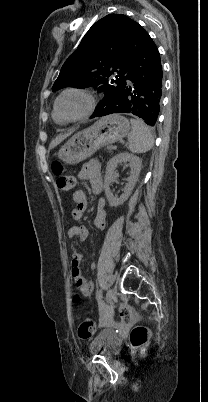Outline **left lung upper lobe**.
Wrapping results in <instances>:
<instances>
[{"label": "left lung upper lobe", "instance_id": "obj_1", "mask_svg": "<svg viewBox=\"0 0 208 402\" xmlns=\"http://www.w3.org/2000/svg\"><path fill=\"white\" fill-rule=\"evenodd\" d=\"M134 23L125 15L109 14L93 24L63 64L52 90L69 85L96 87L105 95L92 116L98 114L114 98L127 73V47Z\"/></svg>", "mask_w": 208, "mask_h": 402}]
</instances>
